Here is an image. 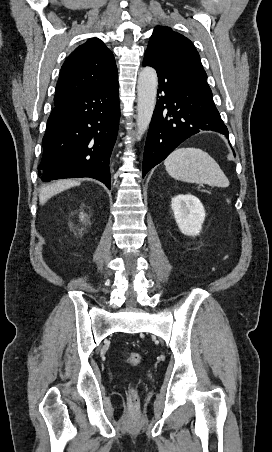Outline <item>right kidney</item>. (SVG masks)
Listing matches in <instances>:
<instances>
[{
    "instance_id": "right-kidney-1",
    "label": "right kidney",
    "mask_w": 272,
    "mask_h": 452,
    "mask_svg": "<svg viewBox=\"0 0 272 452\" xmlns=\"http://www.w3.org/2000/svg\"><path fill=\"white\" fill-rule=\"evenodd\" d=\"M80 218H81V220H83V218H84V215H81V216H80Z\"/></svg>"
}]
</instances>
